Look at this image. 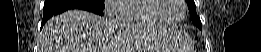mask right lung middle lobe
<instances>
[{
  "label": "right lung middle lobe",
  "instance_id": "dd1d6c3e",
  "mask_svg": "<svg viewBox=\"0 0 261 52\" xmlns=\"http://www.w3.org/2000/svg\"><path fill=\"white\" fill-rule=\"evenodd\" d=\"M67 1L70 3H77L98 10L104 9V0H67Z\"/></svg>",
  "mask_w": 261,
  "mask_h": 52
}]
</instances>
